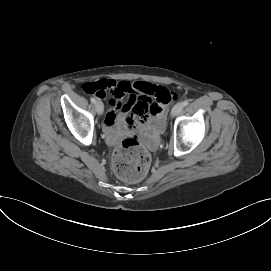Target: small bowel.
Listing matches in <instances>:
<instances>
[{
  "label": "small bowel",
  "instance_id": "c3829d8e",
  "mask_svg": "<svg viewBox=\"0 0 271 271\" xmlns=\"http://www.w3.org/2000/svg\"><path fill=\"white\" fill-rule=\"evenodd\" d=\"M106 93L111 95V108L107 111L104 121V130L107 140L116 143L123 129L140 134L151 129L154 133L162 130L165 123V106L168 101L158 98L159 90L168 91L162 86L149 82L102 80ZM128 96V101L123 98Z\"/></svg>",
  "mask_w": 271,
  "mask_h": 271
}]
</instances>
